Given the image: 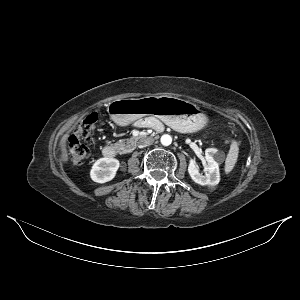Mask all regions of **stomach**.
<instances>
[{"instance_id": "obj_1", "label": "stomach", "mask_w": 300, "mask_h": 300, "mask_svg": "<svg viewBox=\"0 0 300 300\" xmlns=\"http://www.w3.org/2000/svg\"><path fill=\"white\" fill-rule=\"evenodd\" d=\"M107 111L111 119L121 126L149 115L181 132H196L208 124L207 116L198 106L166 95L114 100Z\"/></svg>"}]
</instances>
